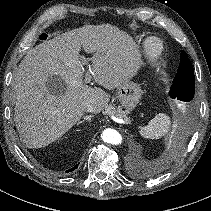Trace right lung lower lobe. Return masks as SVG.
I'll return each instance as SVG.
<instances>
[{"mask_svg": "<svg viewBox=\"0 0 211 211\" xmlns=\"http://www.w3.org/2000/svg\"><path fill=\"white\" fill-rule=\"evenodd\" d=\"M78 167V164L76 166H74L73 168L69 169L67 172H71L73 170H75Z\"/></svg>", "mask_w": 211, "mask_h": 211, "instance_id": "98d812e1", "label": "right lung lower lobe"}]
</instances>
